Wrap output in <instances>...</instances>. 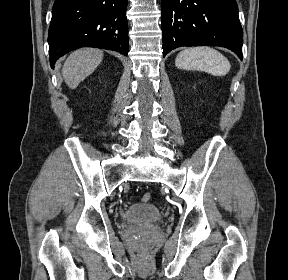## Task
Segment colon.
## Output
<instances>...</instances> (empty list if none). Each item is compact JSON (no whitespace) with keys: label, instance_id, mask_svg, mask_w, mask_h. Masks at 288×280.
I'll return each mask as SVG.
<instances>
[{"label":"colon","instance_id":"obj_1","mask_svg":"<svg viewBox=\"0 0 288 280\" xmlns=\"http://www.w3.org/2000/svg\"><path fill=\"white\" fill-rule=\"evenodd\" d=\"M152 199V195L150 193H145L142 197V201L145 203L150 202Z\"/></svg>","mask_w":288,"mask_h":280}]
</instances>
